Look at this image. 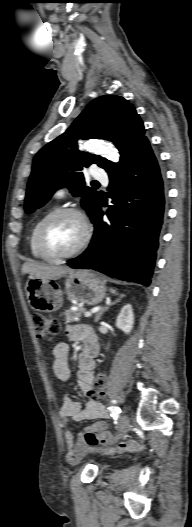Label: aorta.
<instances>
[{
	"instance_id": "obj_1",
	"label": "aorta",
	"mask_w": 192,
	"mask_h": 527,
	"mask_svg": "<svg viewBox=\"0 0 192 527\" xmlns=\"http://www.w3.org/2000/svg\"><path fill=\"white\" fill-rule=\"evenodd\" d=\"M89 150L91 152L100 154L112 161H118V153L117 150L109 143L102 142V141H92L89 144Z\"/></svg>"
}]
</instances>
